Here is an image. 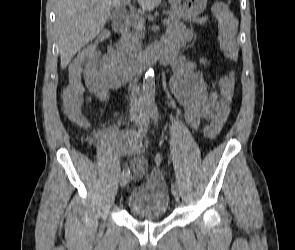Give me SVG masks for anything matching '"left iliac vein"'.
<instances>
[{
    "instance_id": "left-iliac-vein-1",
    "label": "left iliac vein",
    "mask_w": 295,
    "mask_h": 250,
    "mask_svg": "<svg viewBox=\"0 0 295 250\" xmlns=\"http://www.w3.org/2000/svg\"><path fill=\"white\" fill-rule=\"evenodd\" d=\"M172 194H173L175 200H176L177 202H179V194H178V190H177V189L173 190V191H172Z\"/></svg>"
}]
</instances>
